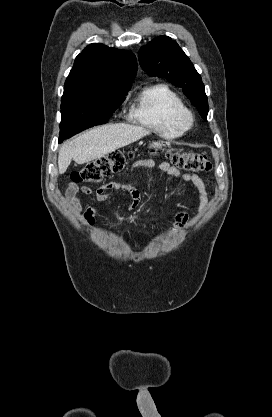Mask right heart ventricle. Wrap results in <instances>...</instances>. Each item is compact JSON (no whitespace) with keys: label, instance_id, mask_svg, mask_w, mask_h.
Wrapping results in <instances>:
<instances>
[{"label":"right heart ventricle","instance_id":"right-heart-ventricle-1","mask_svg":"<svg viewBox=\"0 0 272 417\" xmlns=\"http://www.w3.org/2000/svg\"><path fill=\"white\" fill-rule=\"evenodd\" d=\"M182 98L168 85L144 87L130 111V119L165 138H178L185 132L180 115L186 110Z\"/></svg>","mask_w":272,"mask_h":417}]
</instances>
